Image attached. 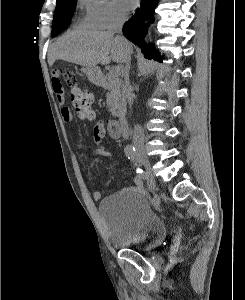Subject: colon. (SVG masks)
<instances>
[{
	"instance_id": "5ec220e1",
	"label": "colon",
	"mask_w": 245,
	"mask_h": 300,
	"mask_svg": "<svg viewBox=\"0 0 245 300\" xmlns=\"http://www.w3.org/2000/svg\"><path fill=\"white\" fill-rule=\"evenodd\" d=\"M56 73L71 88L72 104L78 117L82 120L94 118L92 94L78 84L77 77L70 70H56Z\"/></svg>"
}]
</instances>
